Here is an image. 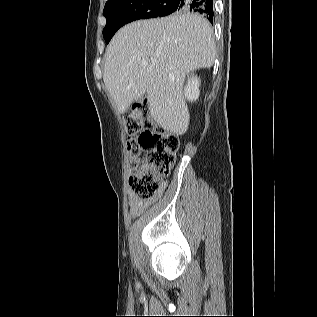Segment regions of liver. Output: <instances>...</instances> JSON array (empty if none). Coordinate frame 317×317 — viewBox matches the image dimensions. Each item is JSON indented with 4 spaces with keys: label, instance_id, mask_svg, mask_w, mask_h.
Wrapping results in <instances>:
<instances>
[{
    "label": "liver",
    "instance_id": "obj_1",
    "mask_svg": "<svg viewBox=\"0 0 317 317\" xmlns=\"http://www.w3.org/2000/svg\"><path fill=\"white\" fill-rule=\"evenodd\" d=\"M216 45L210 23L193 13L140 20L117 31L105 53L103 80L120 113L146 94L152 118L183 135L189 126L186 75L210 68Z\"/></svg>",
    "mask_w": 317,
    "mask_h": 317
}]
</instances>
